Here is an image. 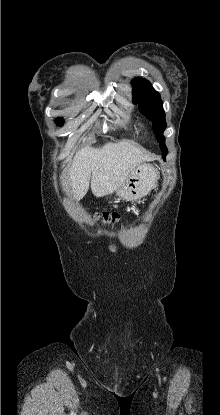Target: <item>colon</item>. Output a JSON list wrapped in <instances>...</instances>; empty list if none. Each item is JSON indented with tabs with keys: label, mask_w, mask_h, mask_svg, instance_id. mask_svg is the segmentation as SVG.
<instances>
[{
	"label": "colon",
	"mask_w": 220,
	"mask_h": 415,
	"mask_svg": "<svg viewBox=\"0 0 220 415\" xmlns=\"http://www.w3.org/2000/svg\"><path fill=\"white\" fill-rule=\"evenodd\" d=\"M97 219H102L106 224H115L120 220V215L116 212H104L102 214H95Z\"/></svg>",
	"instance_id": "1"
}]
</instances>
